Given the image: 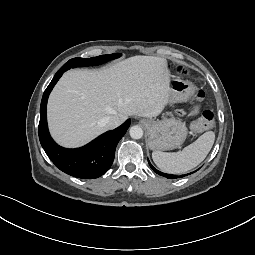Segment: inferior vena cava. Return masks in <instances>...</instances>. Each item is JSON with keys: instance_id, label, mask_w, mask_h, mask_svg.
I'll list each match as a JSON object with an SVG mask.
<instances>
[{"instance_id": "obj_1", "label": "inferior vena cava", "mask_w": 255, "mask_h": 255, "mask_svg": "<svg viewBox=\"0 0 255 255\" xmlns=\"http://www.w3.org/2000/svg\"><path fill=\"white\" fill-rule=\"evenodd\" d=\"M102 123L107 129H114L122 123V120L118 116L111 115L105 117Z\"/></svg>"}]
</instances>
